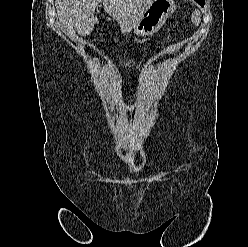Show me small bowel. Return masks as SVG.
Masks as SVG:
<instances>
[{"label": "small bowel", "instance_id": "c3829d8e", "mask_svg": "<svg viewBox=\"0 0 248 247\" xmlns=\"http://www.w3.org/2000/svg\"><path fill=\"white\" fill-rule=\"evenodd\" d=\"M129 70H130V65H129L127 62H124V63L122 64V71H123L124 73H127Z\"/></svg>", "mask_w": 248, "mask_h": 247}]
</instances>
